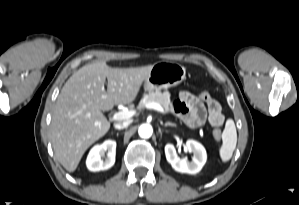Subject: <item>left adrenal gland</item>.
I'll return each instance as SVG.
<instances>
[{"instance_id":"1","label":"left adrenal gland","mask_w":299,"mask_h":205,"mask_svg":"<svg viewBox=\"0 0 299 205\" xmlns=\"http://www.w3.org/2000/svg\"><path fill=\"white\" fill-rule=\"evenodd\" d=\"M162 125H164L165 127H167V126L176 127V124L171 123V122H167V123H165V124L162 123Z\"/></svg>"}]
</instances>
